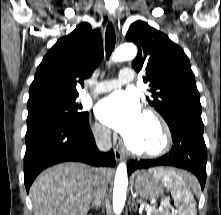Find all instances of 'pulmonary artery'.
I'll return each mask as SVG.
<instances>
[{"instance_id": "e3ab8cb5", "label": "pulmonary artery", "mask_w": 221, "mask_h": 215, "mask_svg": "<svg viewBox=\"0 0 221 215\" xmlns=\"http://www.w3.org/2000/svg\"><path fill=\"white\" fill-rule=\"evenodd\" d=\"M135 80L134 72L125 68L120 71L117 79H108L98 84L95 89L96 93H106L118 89L123 84L131 83Z\"/></svg>"}]
</instances>
